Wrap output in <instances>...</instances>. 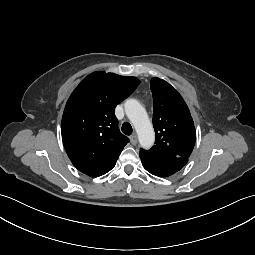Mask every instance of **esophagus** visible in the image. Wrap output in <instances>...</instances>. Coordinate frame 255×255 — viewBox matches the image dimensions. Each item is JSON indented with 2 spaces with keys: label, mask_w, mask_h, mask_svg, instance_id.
Wrapping results in <instances>:
<instances>
[{
  "label": "esophagus",
  "mask_w": 255,
  "mask_h": 255,
  "mask_svg": "<svg viewBox=\"0 0 255 255\" xmlns=\"http://www.w3.org/2000/svg\"><path fill=\"white\" fill-rule=\"evenodd\" d=\"M130 142L133 144V145H136L137 144V136L136 134H133L130 136Z\"/></svg>",
  "instance_id": "1"
}]
</instances>
